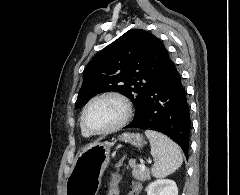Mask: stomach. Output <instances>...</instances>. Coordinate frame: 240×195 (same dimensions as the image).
I'll use <instances>...</instances> for the list:
<instances>
[{"label":"stomach","instance_id":"obj_1","mask_svg":"<svg viewBox=\"0 0 240 195\" xmlns=\"http://www.w3.org/2000/svg\"><path fill=\"white\" fill-rule=\"evenodd\" d=\"M119 139L139 149L146 143L141 133H122ZM114 143L115 141H94L79 149L67 177V195H97Z\"/></svg>","mask_w":240,"mask_h":195}]
</instances>
